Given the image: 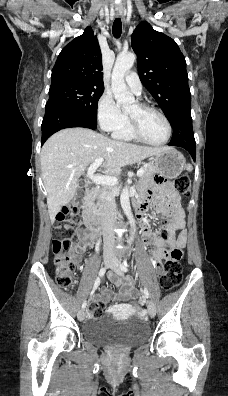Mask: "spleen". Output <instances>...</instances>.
Segmentation results:
<instances>
[{
  "mask_svg": "<svg viewBox=\"0 0 228 396\" xmlns=\"http://www.w3.org/2000/svg\"><path fill=\"white\" fill-rule=\"evenodd\" d=\"M185 168H186V170H188V171H192V170H193V167H192L191 164L186 165Z\"/></svg>",
  "mask_w": 228,
  "mask_h": 396,
  "instance_id": "obj_1",
  "label": "spleen"
}]
</instances>
